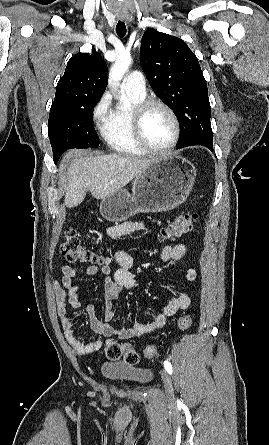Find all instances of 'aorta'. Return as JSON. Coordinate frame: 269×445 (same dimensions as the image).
<instances>
[{"instance_id":"1","label":"aorta","mask_w":269,"mask_h":445,"mask_svg":"<svg viewBox=\"0 0 269 445\" xmlns=\"http://www.w3.org/2000/svg\"><path fill=\"white\" fill-rule=\"evenodd\" d=\"M131 63L132 58L130 57V55L125 54L118 57L109 73L110 83L118 85Z\"/></svg>"}]
</instances>
